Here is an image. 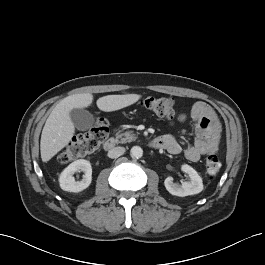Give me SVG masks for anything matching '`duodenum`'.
<instances>
[{
  "label": "duodenum",
  "mask_w": 265,
  "mask_h": 265,
  "mask_svg": "<svg viewBox=\"0 0 265 265\" xmlns=\"http://www.w3.org/2000/svg\"><path fill=\"white\" fill-rule=\"evenodd\" d=\"M151 145L154 147V148H162L163 147V140L161 137H157V138H154L151 142ZM116 146V141L114 138H109L105 144H104V148L106 151H111L115 148Z\"/></svg>",
  "instance_id": "1"
}]
</instances>
